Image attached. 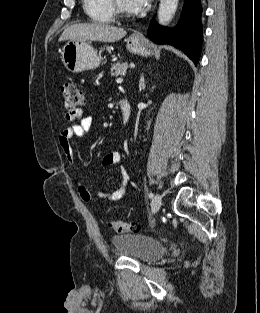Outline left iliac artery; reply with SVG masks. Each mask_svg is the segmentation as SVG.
<instances>
[{"mask_svg":"<svg viewBox=\"0 0 260 313\" xmlns=\"http://www.w3.org/2000/svg\"><path fill=\"white\" fill-rule=\"evenodd\" d=\"M148 196H149V198H153L154 194H153L152 192H150V193L148 194Z\"/></svg>","mask_w":260,"mask_h":313,"instance_id":"left-iliac-artery-1","label":"left iliac artery"}]
</instances>
